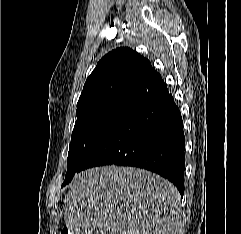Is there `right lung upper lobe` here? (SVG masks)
<instances>
[{"instance_id": "obj_1", "label": "right lung upper lobe", "mask_w": 241, "mask_h": 234, "mask_svg": "<svg viewBox=\"0 0 241 234\" xmlns=\"http://www.w3.org/2000/svg\"><path fill=\"white\" fill-rule=\"evenodd\" d=\"M164 82L146 58L128 47L115 49L97 63L86 80L77 110L108 102L138 104Z\"/></svg>"}]
</instances>
